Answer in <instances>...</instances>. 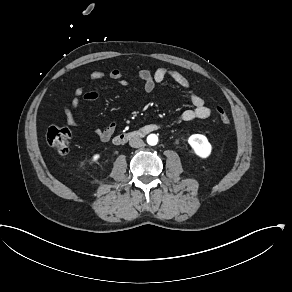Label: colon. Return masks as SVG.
Instances as JSON below:
<instances>
[{
  "mask_svg": "<svg viewBox=\"0 0 292 292\" xmlns=\"http://www.w3.org/2000/svg\"><path fill=\"white\" fill-rule=\"evenodd\" d=\"M215 112L221 122L230 127L231 120L222 105L215 106ZM71 140V133L62 127H51L47 130L46 141L51 150L56 154H65L68 151V144Z\"/></svg>",
  "mask_w": 292,
  "mask_h": 292,
  "instance_id": "5ec220e1",
  "label": "colon"
}]
</instances>
